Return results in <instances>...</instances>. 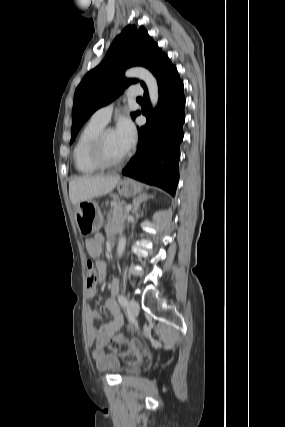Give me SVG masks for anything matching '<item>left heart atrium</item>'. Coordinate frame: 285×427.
Segmentation results:
<instances>
[{"label":"left heart atrium","mask_w":285,"mask_h":427,"mask_svg":"<svg viewBox=\"0 0 285 427\" xmlns=\"http://www.w3.org/2000/svg\"><path fill=\"white\" fill-rule=\"evenodd\" d=\"M115 132L125 149L129 151L136 142V129L131 120L127 117L121 118Z\"/></svg>","instance_id":"obj_1"}]
</instances>
